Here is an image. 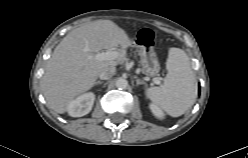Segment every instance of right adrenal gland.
<instances>
[{"label":"right adrenal gland","instance_id":"right-adrenal-gland-1","mask_svg":"<svg viewBox=\"0 0 248 158\" xmlns=\"http://www.w3.org/2000/svg\"><path fill=\"white\" fill-rule=\"evenodd\" d=\"M102 83H103L102 81H96L95 85L102 84Z\"/></svg>","mask_w":248,"mask_h":158}]
</instances>
